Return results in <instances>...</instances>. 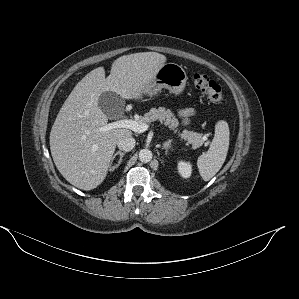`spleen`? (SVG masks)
<instances>
[{
  "label": "spleen",
  "mask_w": 299,
  "mask_h": 299,
  "mask_svg": "<svg viewBox=\"0 0 299 299\" xmlns=\"http://www.w3.org/2000/svg\"><path fill=\"white\" fill-rule=\"evenodd\" d=\"M229 127L226 121H218L209 150L199 156L197 166L204 181H209L222 167L229 148Z\"/></svg>",
  "instance_id": "3e777b00"
}]
</instances>
